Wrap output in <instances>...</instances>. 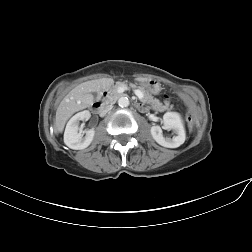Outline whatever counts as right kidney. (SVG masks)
Returning a JSON list of instances; mask_svg holds the SVG:
<instances>
[{
  "mask_svg": "<svg viewBox=\"0 0 252 252\" xmlns=\"http://www.w3.org/2000/svg\"><path fill=\"white\" fill-rule=\"evenodd\" d=\"M91 114L88 110H84L75 114L67 123L64 132V143L71 149L81 150L87 148L95 135L94 129L87 131H79V123L82 120H89ZM85 134V136H84Z\"/></svg>",
  "mask_w": 252,
  "mask_h": 252,
  "instance_id": "1",
  "label": "right kidney"
}]
</instances>
